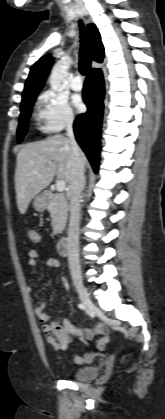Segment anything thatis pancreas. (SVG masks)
<instances>
[{"label":"pancreas","mask_w":165,"mask_h":419,"mask_svg":"<svg viewBox=\"0 0 165 419\" xmlns=\"http://www.w3.org/2000/svg\"><path fill=\"white\" fill-rule=\"evenodd\" d=\"M47 209L51 214L53 233L60 234L67 221V198L62 194H53Z\"/></svg>","instance_id":"obj_1"}]
</instances>
